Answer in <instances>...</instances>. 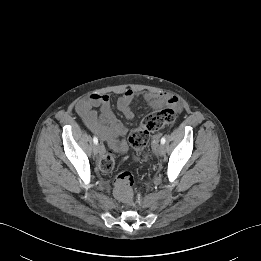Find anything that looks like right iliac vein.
Here are the masks:
<instances>
[{
	"label": "right iliac vein",
	"mask_w": 261,
	"mask_h": 261,
	"mask_svg": "<svg viewBox=\"0 0 261 261\" xmlns=\"http://www.w3.org/2000/svg\"><path fill=\"white\" fill-rule=\"evenodd\" d=\"M99 151H100V145L95 144V145L93 146V152H94V154H98Z\"/></svg>",
	"instance_id": "right-iliac-vein-1"
}]
</instances>
